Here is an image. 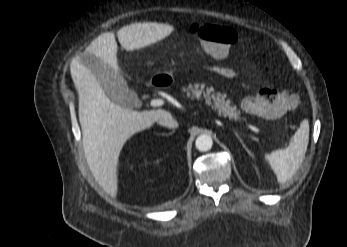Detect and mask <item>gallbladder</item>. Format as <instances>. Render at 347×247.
Listing matches in <instances>:
<instances>
[{
	"instance_id": "1",
	"label": "gallbladder",
	"mask_w": 347,
	"mask_h": 247,
	"mask_svg": "<svg viewBox=\"0 0 347 247\" xmlns=\"http://www.w3.org/2000/svg\"><path fill=\"white\" fill-rule=\"evenodd\" d=\"M81 62L91 70L104 93L114 103L126 108L137 105V94L128 88L127 82L119 71H115L91 54L82 55Z\"/></svg>"
}]
</instances>
